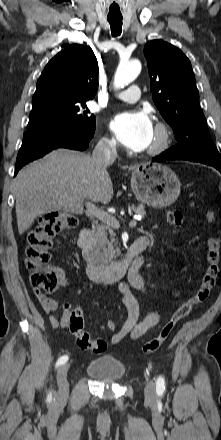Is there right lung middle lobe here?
<instances>
[{
    "mask_svg": "<svg viewBox=\"0 0 221 440\" xmlns=\"http://www.w3.org/2000/svg\"><path fill=\"white\" fill-rule=\"evenodd\" d=\"M85 103L51 102L33 106L27 131L38 128H58L91 134L95 131V116Z\"/></svg>",
    "mask_w": 221,
    "mask_h": 440,
    "instance_id": "dd1d6c3e",
    "label": "right lung middle lobe"
}]
</instances>
